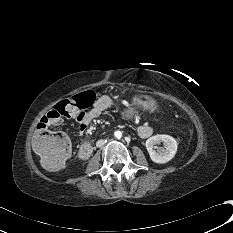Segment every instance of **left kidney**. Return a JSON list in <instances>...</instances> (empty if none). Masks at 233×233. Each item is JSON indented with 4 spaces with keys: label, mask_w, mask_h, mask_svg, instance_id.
<instances>
[{
    "label": "left kidney",
    "mask_w": 233,
    "mask_h": 233,
    "mask_svg": "<svg viewBox=\"0 0 233 233\" xmlns=\"http://www.w3.org/2000/svg\"><path fill=\"white\" fill-rule=\"evenodd\" d=\"M163 143V147H158L154 150V145ZM146 149L149 152L150 158L153 162L164 164L170 161L177 152L178 144L176 140L169 135H155L147 139Z\"/></svg>",
    "instance_id": "obj_1"
}]
</instances>
